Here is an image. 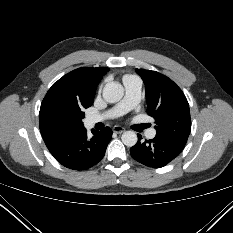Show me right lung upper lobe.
I'll use <instances>...</instances> for the list:
<instances>
[{"label":"right lung upper lobe","instance_id":"cb5924a9","mask_svg":"<svg viewBox=\"0 0 233 233\" xmlns=\"http://www.w3.org/2000/svg\"><path fill=\"white\" fill-rule=\"evenodd\" d=\"M108 70L78 68L52 85L39 112L40 131L48 148L84 128L75 112L92 105L96 88Z\"/></svg>","mask_w":233,"mask_h":233}]
</instances>
